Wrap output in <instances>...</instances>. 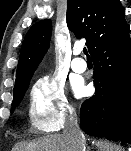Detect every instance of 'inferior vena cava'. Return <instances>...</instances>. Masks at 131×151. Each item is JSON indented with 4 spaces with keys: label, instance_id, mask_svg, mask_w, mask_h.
Masks as SVG:
<instances>
[{
    "label": "inferior vena cava",
    "instance_id": "inferior-vena-cava-1",
    "mask_svg": "<svg viewBox=\"0 0 131 151\" xmlns=\"http://www.w3.org/2000/svg\"><path fill=\"white\" fill-rule=\"evenodd\" d=\"M63 136L71 142L74 151H85V137L79 128L77 116L73 109H69Z\"/></svg>",
    "mask_w": 131,
    "mask_h": 151
}]
</instances>
